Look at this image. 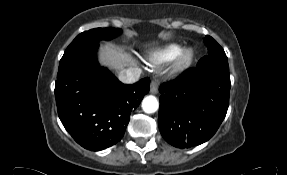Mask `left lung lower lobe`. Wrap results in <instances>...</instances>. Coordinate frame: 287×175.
Returning a JSON list of instances; mask_svg holds the SVG:
<instances>
[{
  "mask_svg": "<svg viewBox=\"0 0 287 175\" xmlns=\"http://www.w3.org/2000/svg\"><path fill=\"white\" fill-rule=\"evenodd\" d=\"M230 74L215 68H194L160 87L158 124L162 137L177 148L208 141L224 120Z\"/></svg>",
  "mask_w": 287,
  "mask_h": 175,
  "instance_id": "obj_1",
  "label": "left lung lower lobe"
}]
</instances>
